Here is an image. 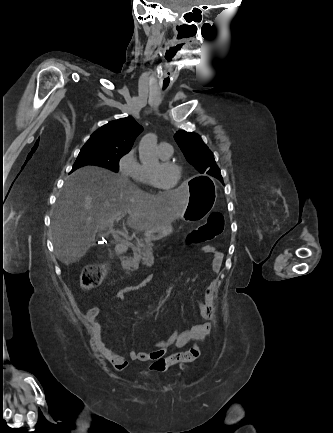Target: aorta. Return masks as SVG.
<instances>
[{"label": "aorta", "instance_id": "762f6f07", "mask_svg": "<svg viewBox=\"0 0 333 433\" xmlns=\"http://www.w3.org/2000/svg\"><path fill=\"white\" fill-rule=\"evenodd\" d=\"M157 136L153 133L146 134L139 143V158L144 165H157L156 155Z\"/></svg>", "mask_w": 333, "mask_h": 433}]
</instances>
